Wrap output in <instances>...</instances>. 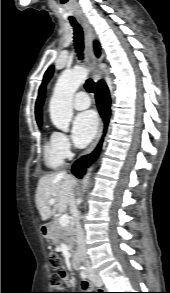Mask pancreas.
<instances>
[{
	"label": "pancreas",
	"instance_id": "obj_1",
	"mask_svg": "<svg viewBox=\"0 0 170 293\" xmlns=\"http://www.w3.org/2000/svg\"><path fill=\"white\" fill-rule=\"evenodd\" d=\"M51 239L55 244H57L60 240H63L67 245L73 247L75 244L74 224L69 223L67 226L61 227L59 220L56 219L51 225Z\"/></svg>",
	"mask_w": 170,
	"mask_h": 293
}]
</instances>
